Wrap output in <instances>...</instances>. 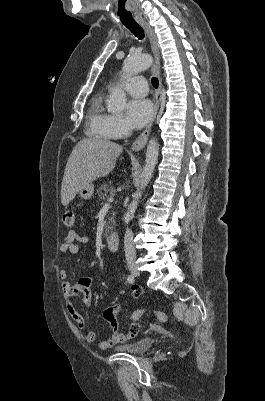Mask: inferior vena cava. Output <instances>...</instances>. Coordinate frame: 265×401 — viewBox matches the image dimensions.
<instances>
[{"instance_id": "inferior-vena-cava-1", "label": "inferior vena cava", "mask_w": 265, "mask_h": 401, "mask_svg": "<svg viewBox=\"0 0 265 401\" xmlns=\"http://www.w3.org/2000/svg\"><path fill=\"white\" fill-rule=\"evenodd\" d=\"M129 130H131V126H129ZM124 249L126 259H136V251L133 243V233L132 231H130V229H126L124 237Z\"/></svg>"}]
</instances>
